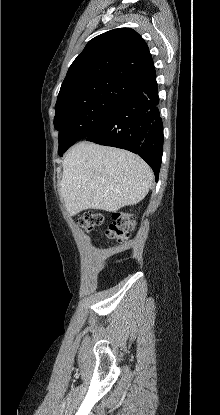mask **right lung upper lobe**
<instances>
[{"label":"right lung upper lobe","instance_id":"obj_1","mask_svg":"<svg viewBox=\"0 0 220 415\" xmlns=\"http://www.w3.org/2000/svg\"><path fill=\"white\" fill-rule=\"evenodd\" d=\"M154 77V63L146 42L133 29L118 28L87 43L69 67L60 91L93 79L118 78L139 86Z\"/></svg>","mask_w":220,"mask_h":415}]
</instances>
